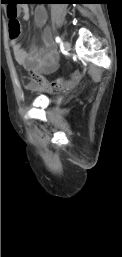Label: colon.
<instances>
[{
	"instance_id": "5ec220e1",
	"label": "colon",
	"mask_w": 122,
	"mask_h": 257,
	"mask_svg": "<svg viewBox=\"0 0 122 257\" xmlns=\"http://www.w3.org/2000/svg\"><path fill=\"white\" fill-rule=\"evenodd\" d=\"M17 5H6V10H9V33L11 38H17L21 32V25L17 19ZM85 75L82 70H74V74H70V79H84ZM26 84L30 88H38L46 92H57L64 85V79L59 78L55 81L48 82L40 74L31 73L30 77L26 78Z\"/></svg>"
}]
</instances>
